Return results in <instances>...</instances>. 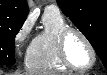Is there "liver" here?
Masks as SVG:
<instances>
[{
  "instance_id": "6515ba94",
  "label": "liver",
  "mask_w": 107,
  "mask_h": 75,
  "mask_svg": "<svg viewBox=\"0 0 107 75\" xmlns=\"http://www.w3.org/2000/svg\"><path fill=\"white\" fill-rule=\"evenodd\" d=\"M12 75H30L28 72H25V73H19V72H16L15 74H12Z\"/></svg>"
}]
</instances>
